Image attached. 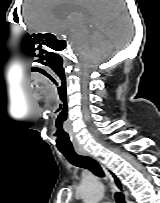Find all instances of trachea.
Instances as JSON below:
<instances>
[{"mask_svg": "<svg viewBox=\"0 0 160 203\" xmlns=\"http://www.w3.org/2000/svg\"><path fill=\"white\" fill-rule=\"evenodd\" d=\"M60 152L71 164L77 167L88 169L99 177H103L105 175L99 163L93 158L79 155L74 150H61ZM115 199L117 203H125L124 195L120 192L115 194Z\"/></svg>", "mask_w": 160, "mask_h": 203, "instance_id": "trachea-1", "label": "trachea"}]
</instances>
